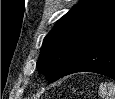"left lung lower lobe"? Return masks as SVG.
Wrapping results in <instances>:
<instances>
[{
  "instance_id": "obj_1",
  "label": "left lung lower lobe",
  "mask_w": 115,
  "mask_h": 99,
  "mask_svg": "<svg viewBox=\"0 0 115 99\" xmlns=\"http://www.w3.org/2000/svg\"><path fill=\"white\" fill-rule=\"evenodd\" d=\"M83 71L115 80V27L83 52L63 76Z\"/></svg>"
}]
</instances>
